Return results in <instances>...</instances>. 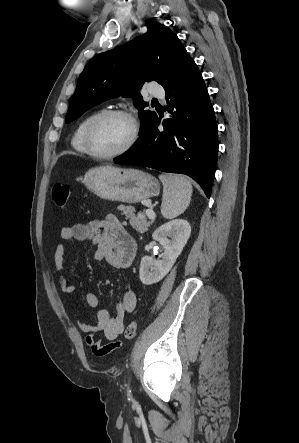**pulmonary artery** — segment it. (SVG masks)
<instances>
[{
    "label": "pulmonary artery",
    "instance_id": "e3ab8cb5",
    "mask_svg": "<svg viewBox=\"0 0 299 443\" xmlns=\"http://www.w3.org/2000/svg\"><path fill=\"white\" fill-rule=\"evenodd\" d=\"M153 97L163 98L165 95L164 89L159 85H152L149 89Z\"/></svg>",
    "mask_w": 299,
    "mask_h": 443
}]
</instances>
